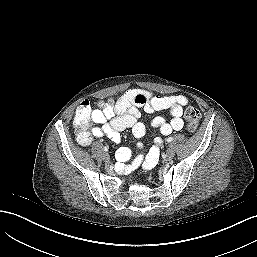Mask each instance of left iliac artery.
<instances>
[{
    "instance_id": "1",
    "label": "left iliac artery",
    "mask_w": 257,
    "mask_h": 257,
    "mask_svg": "<svg viewBox=\"0 0 257 257\" xmlns=\"http://www.w3.org/2000/svg\"><path fill=\"white\" fill-rule=\"evenodd\" d=\"M166 141H167L168 143H170V142L173 141V138H172V137H168V138L166 139Z\"/></svg>"
}]
</instances>
